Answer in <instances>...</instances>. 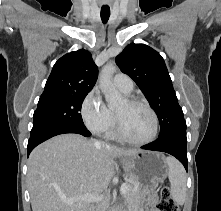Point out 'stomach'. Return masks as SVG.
Instances as JSON below:
<instances>
[{
  "label": "stomach",
  "instance_id": "stomach-1",
  "mask_svg": "<svg viewBox=\"0 0 221 211\" xmlns=\"http://www.w3.org/2000/svg\"><path fill=\"white\" fill-rule=\"evenodd\" d=\"M122 165L129 178L139 184L144 201L139 208L144 207L145 202L154 195L155 186L168 175L165 157L158 152L139 151L124 157Z\"/></svg>",
  "mask_w": 221,
  "mask_h": 211
}]
</instances>
